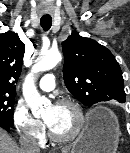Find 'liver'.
Instances as JSON below:
<instances>
[{"instance_id": "1", "label": "liver", "mask_w": 130, "mask_h": 153, "mask_svg": "<svg viewBox=\"0 0 130 153\" xmlns=\"http://www.w3.org/2000/svg\"><path fill=\"white\" fill-rule=\"evenodd\" d=\"M0 153H21V150L17 146L16 142L1 127H0ZM62 153H66V151L62 150Z\"/></svg>"}]
</instances>
